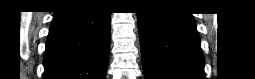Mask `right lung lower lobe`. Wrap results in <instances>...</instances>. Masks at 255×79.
Here are the masks:
<instances>
[{"instance_id": "obj_1", "label": "right lung lower lobe", "mask_w": 255, "mask_h": 79, "mask_svg": "<svg viewBox=\"0 0 255 79\" xmlns=\"http://www.w3.org/2000/svg\"><path fill=\"white\" fill-rule=\"evenodd\" d=\"M110 14L90 6L56 11L46 42L43 79H105Z\"/></svg>"}]
</instances>
